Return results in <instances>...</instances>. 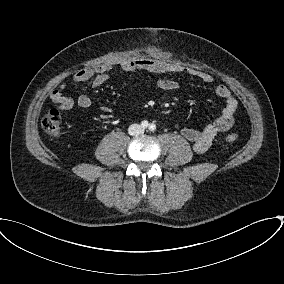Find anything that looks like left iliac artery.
Segmentation results:
<instances>
[{"label": "left iliac artery", "instance_id": "1", "mask_svg": "<svg viewBox=\"0 0 284 284\" xmlns=\"http://www.w3.org/2000/svg\"><path fill=\"white\" fill-rule=\"evenodd\" d=\"M149 129H150V131H155V129H156L155 124H151V125L149 126Z\"/></svg>", "mask_w": 284, "mask_h": 284}]
</instances>
